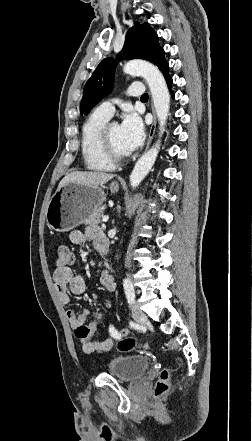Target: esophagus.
Masks as SVG:
<instances>
[{
	"label": "esophagus",
	"instance_id": "obj_1",
	"mask_svg": "<svg viewBox=\"0 0 252 441\" xmlns=\"http://www.w3.org/2000/svg\"><path fill=\"white\" fill-rule=\"evenodd\" d=\"M151 109H152V114H153V121L152 124L150 126V130H149V134H148V139H147V144H146V149L147 150L152 142L155 130H156V115H155V111H154V107L153 105H151Z\"/></svg>",
	"mask_w": 252,
	"mask_h": 441
}]
</instances>
